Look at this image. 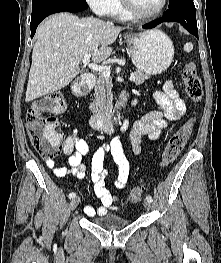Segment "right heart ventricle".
<instances>
[{
    "mask_svg": "<svg viewBox=\"0 0 221 263\" xmlns=\"http://www.w3.org/2000/svg\"><path fill=\"white\" fill-rule=\"evenodd\" d=\"M115 18L119 20H131L133 17L126 12L120 0H117L115 7L111 13Z\"/></svg>",
    "mask_w": 221,
    "mask_h": 263,
    "instance_id": "obj_1",
    "label": "right heart ventricle"
}]
</instances>
